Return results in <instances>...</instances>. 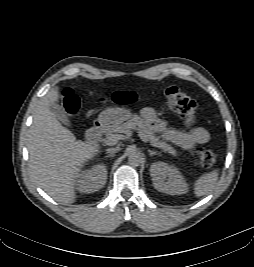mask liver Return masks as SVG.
I'll use <instances>...</instances> for the list:
<instances>
[{"instance_id":"obj_1","label":"liver","mask_w":254,"mask_h":267,"mask_svg":"<svg viewBox=\"0 0 254 267\" xmlns=\"http://www.w3.org/2000/svg\"><path fill=\"white\" fill-rule=\"evenodd\" d=\"M58 99V88H53L38 103L27 148L30 172L36 183L54 200L68 205L76 199L75 185L81 168L99 150L76 140L51 113L49 106Z\"/></svg>"}]
</instances>
